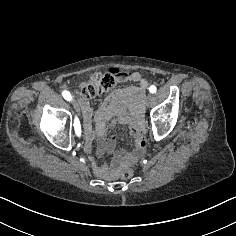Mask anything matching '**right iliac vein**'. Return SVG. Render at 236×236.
<instances>
[{
    "instance_id": "1",
    "label": "right iliac vein",
    "mask_w": 236,
    "mask_h": 236,
    "mask_svg": "<svg viewBox=\"0 0 236 236\" xmlns=\"http://www.w3.org/2000/svg\"><path fill=\"white\" fill-rule=\"evenodd\" d=\"M74 107H75L74 109L76 110V113L80 114L81 113V106L79 105L78 102L74 103Z\"/></svg>"
}]
</instances>
